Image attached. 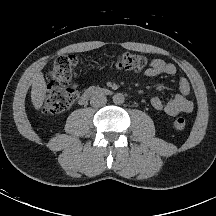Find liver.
Listing matches in <instances>:
<instances>
[{
    "label": "liver",
    "mask_w": 216,
    "mask_h": 216,
    "mask_svg": "<svg viewBox=\"0 0 216 216\" xmlns=\"http://www.w3.org/2000/svg\"><path fill=\"white\" fill-rule=\"evenodd\" d=\"M46 82L42 72H37L33 77L31 101L36 110H39L46 98Z\"/></svg>",
    "instance_id": "1"
}]
</instances>
